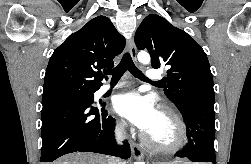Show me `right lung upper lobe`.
Returning a JSON list of instances; mask_svg holds the SVG:
<instances>
[{"label":"right lung upper lobe","mask_w":251,"mask_h":164,"mask_svg":"<svg viewBox=\"0 0 251 164\" xmlns=\"http://www.w3.org/2000/svg\"><path fill=\"white\" fill-rule=\"evenodd\" d=\"M125 46L106 16L90 20L71 34L52 54L44 79V92L63 87L98 90L102 69L112 68L113 59Z\"/></svg>","instance_id":"1"}]
</instances>
